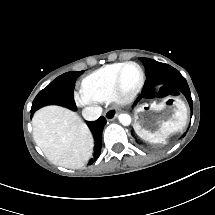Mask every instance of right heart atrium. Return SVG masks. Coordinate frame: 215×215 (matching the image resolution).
I'll list each match as a JSON object with an SVG mask.
<instances>
[{
  "mask_svg": "<svg viewBox=\"0 0 215 215\" xmlns=\"http://www.w3.org/2000/svg\"><path fill=\"white\" fill-rule=\"evenodd\" d=\"M77 103H78V105L86 103V98H84V97H77Z\"/></svg>",
  "mask_w": 215,
  "mask_h": 215,
  "instance_id": "right-heart-atrium-1",
  "label": "right heart atrium"
}]
</instances>
